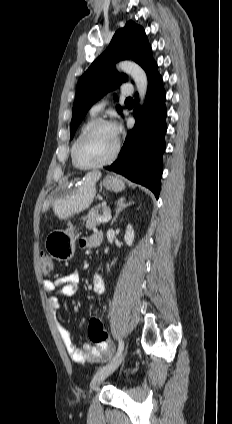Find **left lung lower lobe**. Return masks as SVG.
Segmentation results:
<instances>
[{
    "instance_id": "1",
    "label": "left lung lower lobe",
    "mask_w": 232,
    "mask_h": 424,
    "mask_svg": "<svg viewBox=\"0 0 232 424\" xmlns=\"http://www.w3.org/2000/svg\"><path fill=\"white\" fill-rule=\"evenodd\" d=\"M148 77L146 101L134 108L136 124L124 142L119 158L107 169L149 188L158 199L165 151L166 93L157 64ZM138 95L136 96L137 100Z\"/></svg>"
}]
</instances>
